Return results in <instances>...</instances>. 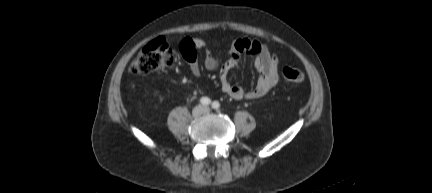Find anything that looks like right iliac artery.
Returning a JSON list of instances; mask_svg holds the SVG:
<instances>
[{"mask_svg": "<svg viewBox=\"0 0 432 193\" xmlns=\"http://www.w3.org/2000/svg\"><path fill=\"white\" fill-rule=\"evenodd\" d=\"M200 103L204 106H208L211 103V100L208 97H202L200 99Z\"/></svg>", "mask_w": 432, "mask_h": 193, "instance_id": "82829eb1", "label": "right iliac artery"}]
</instances>
